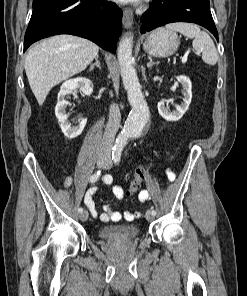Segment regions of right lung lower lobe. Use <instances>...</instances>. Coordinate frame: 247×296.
I'll use <instances>...</instances> for the list:
<instances>
[{"label": "right lung lower lobe", "instance_id": "98d812e1", "mask_svg": "<svg viewBox=\"0 0 247 296\" xmlns=\"http://www.w3.org/2000/svg\"><path fill=\"white\" fill-rule=\"evenodd\" d=\"M121 20L122 11L105 0H33L24 51L42 38L72 34L115 53L122 32Z\"/></svg>", "mask_w": 247, "mask_h": 296}]
</instances>
